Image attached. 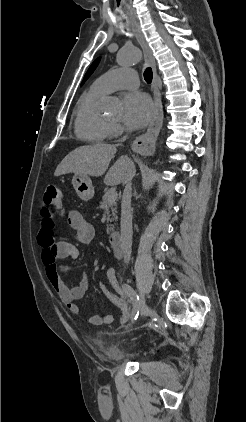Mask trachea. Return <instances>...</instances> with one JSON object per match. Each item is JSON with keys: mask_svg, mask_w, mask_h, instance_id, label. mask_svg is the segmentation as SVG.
<instances>
[{"mask_svg": "<svg viewBox=\"0 0 246 422\" xmlns=\"http://www.w3.org/2000/svg\"><path fill=\"white\" fill-rule=\"evenodd\" d=\"M153 78V72L150 67H147L144 71V79L147 83H151Z\"/></svg>", "mask_w": 246, "mask_h": 422, "instance_id": "1", "label": "trachea"}]
</instances>
